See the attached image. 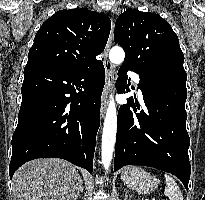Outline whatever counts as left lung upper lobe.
<instances>
[{
  "label": "left lung upper lobe",
  "mask_w": 205,
  "mask_h": 200,
  "mask_svg": "<svg viewBox=\"0 0 205 200\" xmlns=\"http://www.w3.org/2000/svg\"><path fill=\"white\" fill-rule=\"evenodd\" d=\"M115 43L125 51L121 67L138 74L165 69L184 70V55L171 26L158 14L124 11L116 20Z\"/></svg>",
  "instance_id": "left-lung-upper-lobe-1"
}]
</instances>
